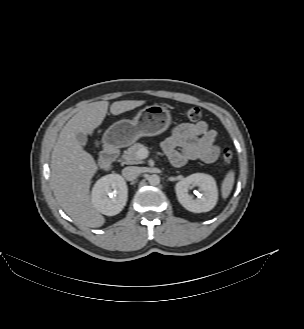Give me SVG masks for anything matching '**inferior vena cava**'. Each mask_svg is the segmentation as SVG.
I'll return each mask as SVG.
<instances>
[{
  "instance_id": "1",
  "label": "inferior vena cava",
  "mask_w": 304,
  "mask_h": 329,
  "mask_svg": "<svg viewBox=\"0 0 304 329\" xmlns=\"http://www.w3.org/2000/svg\"><path fill=\"white\" fill-rule=\"evenodd\" d=\"M122 175L123 177L128 180V181H132L134 179H136L139 175V168L136 166H128L125 167L122 170Z\"/></svg>"
}]
</instances>
